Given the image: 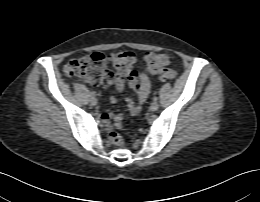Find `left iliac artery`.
I'll use <instances>...</instances> for the list:
<instances>
[{"label": "left iliac artery", "mask_w": 260, "mask_h": 202, "mask_svg": "<svg viewBox=\"0 0 260 202\" xmlns=\"http://www.w3.org/2000/svg\"><path fill=\"white\" fill-rule=\"evenodd\" d=\"M158 100V97L157 96H154L153 97V101H157Z\"/></svg>", "instance_id": "1"}]
</instances>
